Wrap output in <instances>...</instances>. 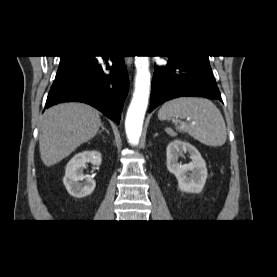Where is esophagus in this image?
<instances>
[{"label": "esophagus", "instance_id": "esophagus-1", "mask_svg": "<svg viewBox=\"0 0 277 277\" xmlns=\"http://www.w3.org/2000/svg\"><path fill=\"white\" fill-rule=\"evenodd\" d=\"M125 62H126V64H127L128 66H130L131 63H132V58H131V57H126V58H125Z\"/></svg>", "mask_w": 277, "mask_h": 277}]
</instances>
